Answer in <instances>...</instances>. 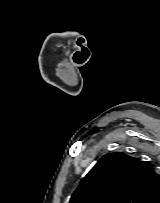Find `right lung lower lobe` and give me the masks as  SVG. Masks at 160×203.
I'll use <instances>...</instances> for the list:
<instances>
[{
  "label": "right lung lower lobe",
  "instance_id": "obj_1",
  "mask_svg": "<svg viewBox=\"0 0 160 203\" xmlns=\"http://www.w3.org/2000/svg\"><path fill=\"white\" fill-rule=\"evenodd\" d=\"M150 203H160V196L156 198L155 200L151 201Z\"/></svg>",
  "mask_w": 160,
  "mask_h": 203
}]
</instances>
